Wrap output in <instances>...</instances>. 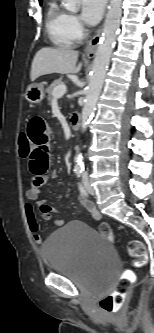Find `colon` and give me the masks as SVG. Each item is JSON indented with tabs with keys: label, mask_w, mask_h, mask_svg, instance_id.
<instances>
[{
	"label": "colon",
	"mask_w": 154,
	"mask_h": 333,
	"mask_svg": "<svg viewBox=\"0 0 154 333\" xmlns=\"http://www.w3.org/2000/svg\"><path fill=\"white\" fill-rule=\"evenodd\" d=\"M19 155L28 158L32 151V143L26 133H22L18 140ZM99 233L113 240L114 235L108 223H101L98 227ZM128 253L134 259V265L141 267L147 262V253L144 244L139 240H132L128 243ZM134 275L131 271H125L118 279L115 289L101 298L100 308L107 313H119L124 306L127 293L132 285Z\"/></svg>",
	"instance_id": "5ec220e1"
}]
</instances>
